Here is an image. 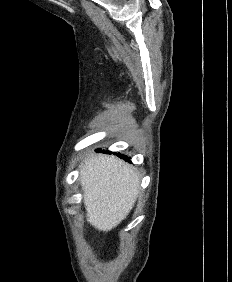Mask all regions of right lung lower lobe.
Returning a JSON list of instances; mask_svg holds the SVG:
<instances>
[{"label": "right lung lower lobe", "mask_w": 232, "mask_h": 282, "mask_svg": "<svg viewBox=\"0 0 232 282\" xmlns=\"http://www.w3.org/2000/svg\"><path fill=\"white\" fill-rule=\"evenodd\" d=\"M98 151H101V150H98ZM118 156H119V153H118ZM121 158L125 159L126 161H129V158H127V156L121 155Z\"/></svg>", "instance_id": "right-lung-lower-lobe-1"}]
</instances>
